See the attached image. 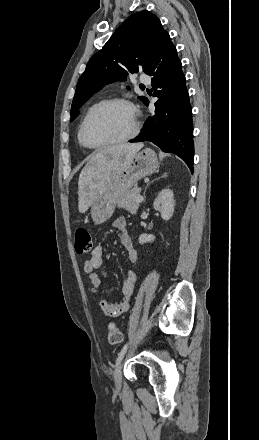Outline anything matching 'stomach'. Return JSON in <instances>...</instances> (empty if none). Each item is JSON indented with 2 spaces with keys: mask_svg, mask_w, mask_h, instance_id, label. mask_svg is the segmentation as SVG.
I'll return each mask as SVG.
<instances>
[{
  "mask_svg": "<svg viewBox=\"0 0 259 440\" xmlns=\"http://www.w3.org/2000/svg\"><path fill=\"white\" fill-rule=\"evenodd\" d=\"M156 153L149 148L137 153L128 165L116 174L106 191L92 204L91 217L96 225L109 220L119 200L128 193L137 182L153 174L158 168Z\"/></svg>",
  "mask_w": 259,
  "mask_h": 440,
  "instance_id": "1",
  "label": "stomach"
}]
</instances>
